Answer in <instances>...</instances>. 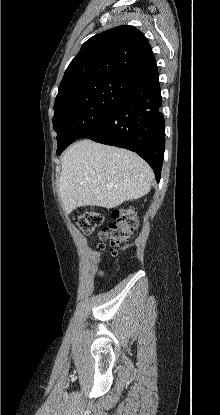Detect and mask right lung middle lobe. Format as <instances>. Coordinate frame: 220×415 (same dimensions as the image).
Instances as JSON below:
<instances>
[{
    "instance_id": "dd1d6c3e",
    "label": "right lung middle lobe",
    "mask_w": 220,
    "mask_h": 415,
    "mask_svg": "<svg viewBox=\"0 0 220 415\" xmlns=\"http://www.w3.org/2000/svg\"><path fill=\"white\" fill-rule=\"evenodd\" d=\"M135 85L117 78L89 80L58 92L53 126L57 153L75 139L97 131L110 109L130 94Z\"/></svg>"
}]
</instances>
